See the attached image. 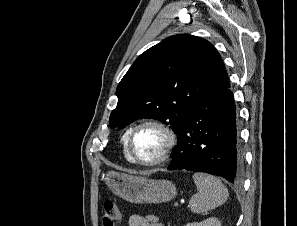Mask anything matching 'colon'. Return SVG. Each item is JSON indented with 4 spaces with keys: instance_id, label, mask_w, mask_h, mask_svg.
<instances>
[{
    "instance_id": "obj_1",
    "label": "colon",
    "mask_w": 297,
    "mask_h": 226,
    "mask_svg": "<svg viewBox=\"0 0 297 226\" xmlns=\"http://www.w3.org/2000/svg\"><path fill=\"white\" fill-rule=\"evenodd\" d=\"M102 219L104 226H117L120 222V212L116 202L108 199L103 204Z\"/></svg>"
}]
</instances>
